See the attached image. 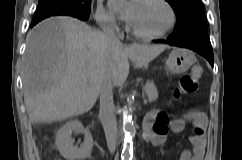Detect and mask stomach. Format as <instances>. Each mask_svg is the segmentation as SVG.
<instances>
[{
    "label": "stomach",
    "mask_w": 242,
    "mask_h": 160,
    "mask_svg": "<svg viewBox=\"0 0 242 160\" xmlns=\"http://www.w3.org/2000/svg\"><path fill=\"white\" fill-rule=\"evenodd\" d=\"M195 55L188 49L175 48L169 55L166 66L175 73L181 74L186 72L195 62Z\"/></svg>",
    "instance_id": "obj_1"
}]
</instances>
